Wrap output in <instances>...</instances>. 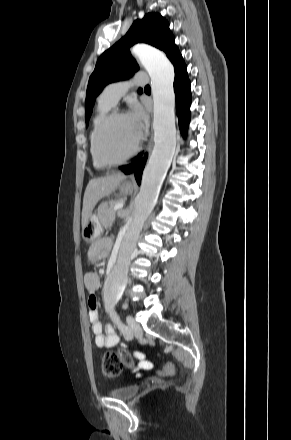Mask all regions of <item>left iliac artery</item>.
<instances>
[{
    "instance_id": "44dca946",
    "label": "left iliac artery",
    "mask_w": 291,
    "mask_h": 440,
    "mask_svg": "<svg viewBox=\"0 0 291 440\" xmlns=\"http://www.w3.org/2000/svg\"><path fill=\"white\" fill-rule=\"evenodd\" d=\"M117 325L124 330L125 335L128 336L130 334L128 328L126 326H124L123 324H121L119 321H117Z\"/></svg>"
}]
</instances>
